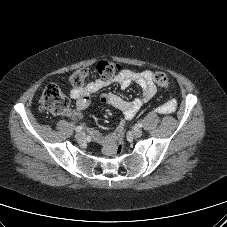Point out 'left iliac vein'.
<instances>
[{"label": "left iliac vein", "instance_id": "1", "mask_svg": "<svg viewBox=\"0 0 227 227\" xmlns=\"http://www.w3.org/2000/svg\"><path fill=\"white\" fill-rule=\"evenodd\" d=\"M142 134H143V132L140 129H135V130L132 131V135L135 138H140L142 136Z\"/></svg>", "mask_w": 227, "mask_h": 227}]
</instances>
